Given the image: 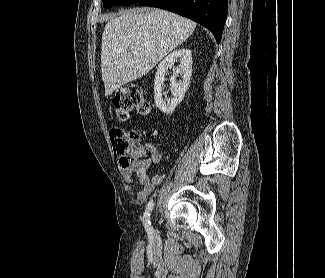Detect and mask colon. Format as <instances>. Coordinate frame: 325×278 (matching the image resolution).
Segmentation results:
<instances>
[{
	"mask_svg": "<svg viewBox=\"0 0 325 278\" xmlns=\"http://www.w3.org/2000/svg\"><path fill=\"white\" fill-rule=\"evenodd\" d=\"M112 106L116 119L120 122L126 121L131 112L147 114L150 111V103L138 86L118 89L112 96ZM111 136L114 153L120 157L125 168L133 167L146 151V146L136 131L126 132L120 127H113Z\"/></svg>",
	"mask_w": 325,
	"mask_h": 278,
	"instance_id": "5ec220e1",
	"label": "colon"
}]
</instances>
